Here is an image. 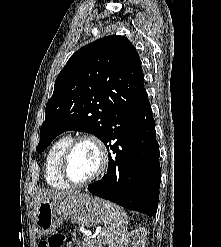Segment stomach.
<instances>
[{
    "mask_svg": "<svg viewBox=\"0 0 221 247\" xmlns=\"http://www.w3.org/2000/svg\"><path fill=\"white\" fill-rule=\"evenodd\" d=\"M106 201L78 193L61 202H41L36 209L35 225L39 234H49L65 220L82 226H95L105 218Z\"/></svg>",
    "mask_w": 221,
    "mask_h": 247,
    "instance_id": "0dacf381",
    "label": "stomach"
}]
</instances>
